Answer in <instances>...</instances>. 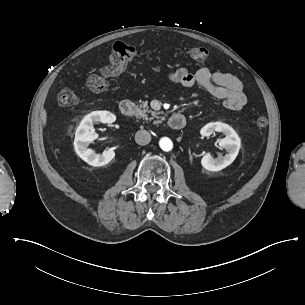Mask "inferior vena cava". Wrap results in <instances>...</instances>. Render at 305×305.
<instances>
[{"label": "inferior vena cava", "instance_id": "602c4592", "mask_svg": "<svg viewBox=\"0 0 305 305\" xmlns=\"http://www.w3.org/2000/svg\"><path fill=\"white\" fill-rule=\"evenodd\" d=\"M151 140V134L147 130H139L135 134V141L139 145H146Z\"/></svg>", "mask_w": 305, "mask_h": 305}]
</instances>
